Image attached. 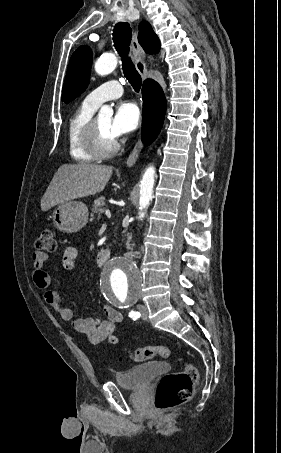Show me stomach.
<instances>
[{
    "label": "stomach",
    "mask_w": 281,
    "mask_h": 453,
    "mask_svg": "<svg viewBox=\"0 0 281 453\" xmlns=\"http://www.w3.org/2000/svg\"><path fill=\"white\" fill-rule=\"evenodd\" d=\"M52 220L61 233H77L88 222V208L84 202L70 200L54 208Z\"/></svg>",
    "instance_id": "stomach-1"
}]
</instances>
